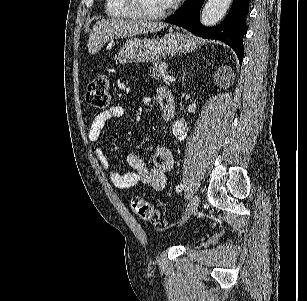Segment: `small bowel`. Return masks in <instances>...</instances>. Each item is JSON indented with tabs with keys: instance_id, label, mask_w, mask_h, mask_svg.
<instances>
[{
	"instance_id": "1",
	"label": "small bowel",
	"mask_w": 307,
	"mask_h": 301,
	"mask_svg": "<svg viewBox=\"0 0 307 301\" xmlns=\"http://www.w3.org/2000/svg\"><path fill=\"white\" fill-rule=\"evenodd\" d=\"M162 91L163 90L159 93ZM124 113V106L114 105L96 115L89 128V140L91 142H98L106 123L110 120L122 117ZM95 154L103 168L110 172V179L114 186L119 189H129L139 183H143L156 191H162L167 185L166 174L173 166L172 153L164 146L158 147L155 151L154 168H148L139 155H128L127 163L131 171L126 174H120L112 170L110 161L102 148H97Z\"/></svg>"
}]
</instances>
